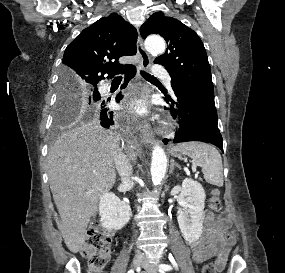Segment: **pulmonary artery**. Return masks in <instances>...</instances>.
<instances>
[{
	"mask_svg": "<svg viewBox=\"0 0 285 273\" xmlns=\"http://www.w3.org/2000/svg\"><path fill=\"white\" fill-rule=\"evenodd\" d=\"M152 71L155 76L163 78L166 81L168 86L171 85V77L166 68L159 66V65H155L152 68ZM108 87L109 85L107 83L101 85V88L104 90L107 89Z\"/></svg>",
	"mask_w": 285,
	"mask_h": 273,
	"instance_id": "pulmonary-artery-1",
	"label": "pulmonary artery"
}]
</instances>
